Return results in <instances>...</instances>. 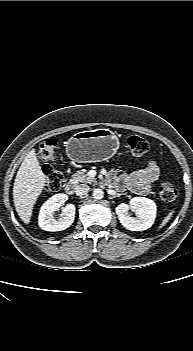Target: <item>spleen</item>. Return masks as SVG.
I'll return each instance as SVG.
<instances>
[{
	"label": "spleen",
	"instance_id": "obj_1",
	"mask_svg": "<svg viewBox=\"0 0 193 351\" xmlns=\"http://www.w3.org/2000/svg\"><path fill=\"white\" fill-rule=\"evenodd\" d=\"M174 211L172 210L162 221V223L160 224L159 228H162L163 226H165L169 220L171 219L172 215H173Z\"/></svg>",
	"mask_w": 193,
	"mask_h": 351
}]
</instances>
